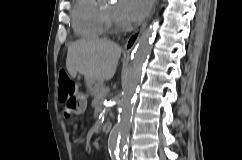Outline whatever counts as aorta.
Returning a JSON list of instances; mask_svg holds the SVG:
<instances>
[{
    "label": "aorta",
    "mask_w": 242,
    "mask_h": 160,
    "mask_svg": "<svg viewBox=\"0 0 242 160\" xmlns=\"http://www.w3.org/2000/svg\"><path fill=\"white\" fill-rule=\"evenodd\" d=\"M155 32V24L147 28L137 41L132 55V63L122 78V96L117 124L112 128L108 138V149L114 151L117 160H125L126 145L132 118V101L138 83L141 80L143 67L150 50Z\"/></svg>",
    "instance_id": "obj_1"
}]
</instances>
